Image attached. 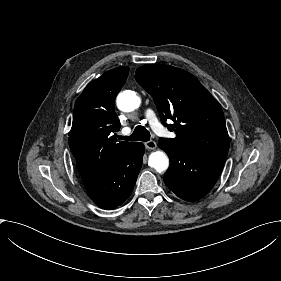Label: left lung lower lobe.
<instances>
[{
	"label": "left lung lower lobe",
	"mask_w": 281,
	"mask_h": 281,
	"mask_svg": "<svg viewBox=\"0 0 281 281\" xmlns=\"http://www.w3.org/2000/svg\"><path fill=\"white\" fill-rule=\"evenodd\" d=\"M158 145L170 159L164 181L178 197L197 201L213 188L226 156L188 154L167 143L159 142Z\"/></svg>",
	"instance_id": "1"
}]
</instances>
